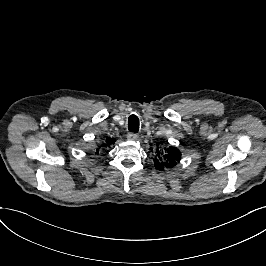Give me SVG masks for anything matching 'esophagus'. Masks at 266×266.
<instances>
[{"mask_svg": "<svg viewBox=\"0 0 266 266\" xmlns=\"http://www.w3.org/2000/svg\"><path fill=\"white\" fill-rule=\"evenodd\" d=\"M127 138H128L129 140H131V141H134V140H136V139L138 138V135H137L136 133H134V132H129V133L127 134Z\"/></svg>", "mask_w": 266, "mask_h": 266, "instance_id": "34e87169", "label": "esophagus"}]
</instances>
